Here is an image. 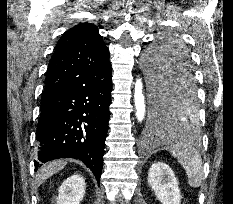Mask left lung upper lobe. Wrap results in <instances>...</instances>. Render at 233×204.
<instances>
[{
  "mask_svg": "<svg viewBox=\"0 0 233 204\" xmlns=\"http://www.w3.org/2000/svg\"><path fill=\"white\" fill-rule=\"evenodd\" d=\"M178 52L184 53L189 58L186 48L173 36L162 37L145 52L144 67L149 78L151 101L157 98V90L161 87V81L172 70V61H170L168 57ZM167 111L168 120L164 127V131L183 130L196 132L198 130L199 116L197 96H189L187 94L181 95L169 105Z\"/></svg>",
  "mask_w": 233,
  "mask_h": 204,
  "instance_id": "left-lung-upper-lobe-1",
  "label": "left lung upper lobe"
}]
</instances>
